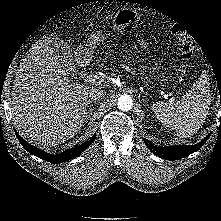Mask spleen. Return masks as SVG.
I'll return each instance as SVG.
<instances>
[{
    "label": "spleen",
    "instance_id": "obj_1",
    "mask_svg": "<svg viewBox=\"0 0 221 221\" xmlns=\"http://www.w3.org/2000/svg\"><path fill=\"white\" fill-rule=\"evenodd\" d=\"M207 74L203 73L179 101L156 102L152 109L157 119L176 131L180 138L191 137L205 122L211 97Z\"/></svg>",
    "mask_w": 221,
    "mask_h": 221
}]
</instances>
